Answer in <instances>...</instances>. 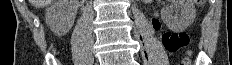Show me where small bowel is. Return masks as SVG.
<instances>
[{
  "label": "small bowel",
  "instance_id": "obj_1",
  "mask_svg": "<svg viewBox=\"0 0 232 65\" xmlns=\"http://www.w3.org/2000/svg\"><path fill=\"white\" fill-rule=\"evenodd\" d=\"M152 25H153V28L155 29V30H160V23H159V21L157 20V19H154L153 21H152ZM163 36V35H162Z\"/></svg>",
  "mask_w": 232,
  "mask_h": 65
}]
</instances>
